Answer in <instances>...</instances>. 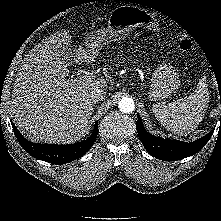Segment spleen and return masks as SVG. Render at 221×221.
I'll return each instance as SVG.
<instances>
[{"label":"spleen","instance_id":"1","mask_svg":"<svg viewBox=\"0 0 221 221\" xmlns=\"http://www.w3.org/2000/svg\"><path fill=\"white\" fill-rule=\"evenodd\" d=\"M209 91L206 78L202 77L190 96L168 105L156 104L153 113L157 120L174 134L184 135L194 131L206 113Z\"/></svg>","mask_w":221,"mask_h":221}]
</instances>
